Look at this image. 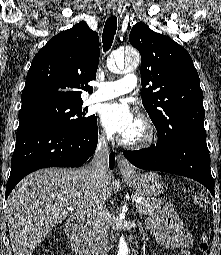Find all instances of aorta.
I'll return each instance as SVG.
<instances>
[{"mask_svg": "<svg viewBox=\"0 0 221 255\" xmlns=\"http://www.w3.org/2000/svg\"><path fill=\"white\" fill-rule=\"evenodd\" d=\"M114 60L118 69L122 70L127 68L128 70H134L139 65V56L136 53H127L124 52H115L114 53ZM128 255V251L126 250V244H121L120 252L118 255Z\"/></svg>", "mask_w": 221, "mask_h": 255, "instance_id": "aorta-1", "label": "aorta"}]
</instances>
